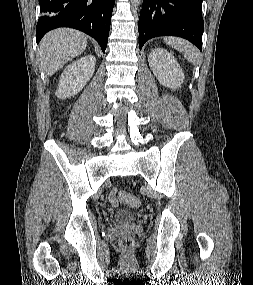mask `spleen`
Returning <instances> with one entry per match:
<instances>
[{
    "label": "spleen",
    "mask_w": 253,
    "mask_h": 285,
    "mask_svg": "<svg viewBox=\"0 0 253 285\" xmlns=\"http://www.w3.org/2000/svg\"><path fill=\"white\" fill-rule=\"evenodd\" d=\"M164 41L166 44L183 53L186 59L193 63V65H198L201 62L197 48L188 41L177 37H166Z\"/></svg>",
    "instance_id": "1"
}]
</instances>
